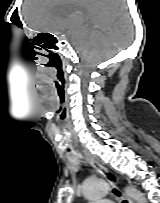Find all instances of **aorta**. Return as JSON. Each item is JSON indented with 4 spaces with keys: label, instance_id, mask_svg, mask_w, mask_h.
<instances>
[{
    "label": "aorta",
    "instance_id": "aorta-1",
    "mask_svg": "<svg viewBox=\"0 0 160 203\" xmlns=\"http://www.w3.org/2000/svg\"><path fill=\"white\" fill-rule=\"evenodd\" d=\"M109 191L108 183L100 180H89L83 185V195L89 200L101 199ZM126 193L136 203H147L144 195L134 187L126 188Z\"/></svg>",
    "mask_w": 160,
    "mask_h": 203
}]
</instances>
